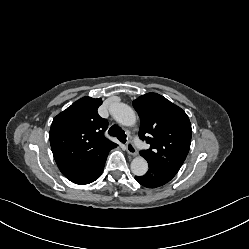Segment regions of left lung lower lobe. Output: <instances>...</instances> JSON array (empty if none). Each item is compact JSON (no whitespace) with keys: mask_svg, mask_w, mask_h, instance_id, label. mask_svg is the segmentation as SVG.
<instances>
[{"mask_svg":"<svg viewBox=\"0 0 249 249\" xmlns=\"http://www.w3.org/2000/svg\"><path fill=\"white\" fill-rule=\"evenodd\" d=\"M175 175L149 166L144 176H135V180L147 188H156L168 183Z\"/></svg>","mask_w":249,"mask_h":249,"instance_id":"left-lung-lower-lobe-1","label":"left lung lower lobe"}]
</instances>
